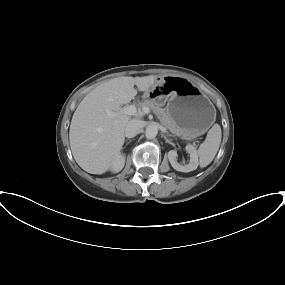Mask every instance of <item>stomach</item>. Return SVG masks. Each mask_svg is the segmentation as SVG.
<instances>
[{
	"instance_id": "stomach-1",
	"label": "stomach",
	"mask_w": 285,
	"mask_h": 285,
	"mask_svg": "<svg viewBox=\"0 0 285 285\" xmlns=\"http://www.w3.org/2000/svg\"><path fill=\"white\" fill-rule=\"evenodd\" d=\"M143 97L157 104L167 102L166 112L188 137L203 135L216 118V110L208 96L183 77H161Z\"/></svg>"
}]
</instances>
